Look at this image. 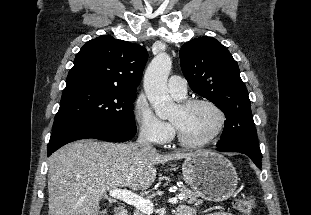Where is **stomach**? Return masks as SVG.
<instances>
[{"label": "stomach", "mask_w": 311, "mask_h": 215, "mask_svg": "<svg viewBox=\"0 0 311 215\" xmlns=\"http://www.w3.org/2000/svg\"><path fill=\"white\" fill-rule=\"evenodd\" d=\"M182 175L198 196L211 202L233 196L239 180L232 163L215 152L192 154L182 165Z\"/></svg>", "instance_id": "stomach-1"}]
</instances>
